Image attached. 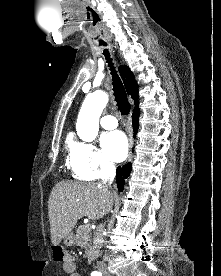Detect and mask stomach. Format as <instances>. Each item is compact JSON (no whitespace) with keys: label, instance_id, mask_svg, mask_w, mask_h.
<instances>
[{"label":"stomach","instance_id":"stomach-1","mask_svg":"<svg viewBox=\"0 0 221 276\" xmlns=\"http://www.w3.org/2000/svg\"><path fill=\"white\" fill-rule=\"evenodd\" d=\"M64 244L66 246H73L75 244V236L72 232L64 238Z\"/></svg>","mask_w":221,"mask_h":276}]
</instances>
